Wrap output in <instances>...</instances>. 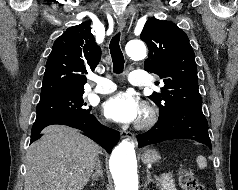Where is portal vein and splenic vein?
Instances as JSON below:
<instances>
[{"instance_id":"obj_1","label":"portal vein and splenic vein","mask_w":238,"mask_h":190,"mask_svg":"<svg viewBox=\"0 0 238 190\" xmlns=\"http://www.w3.org/2000/svg\"><path fill=\"white\" fill-rule=\"evenodd\" d=\"M161 177H168V175L167 174H163Z\"/></svg>"}]
</instances>
